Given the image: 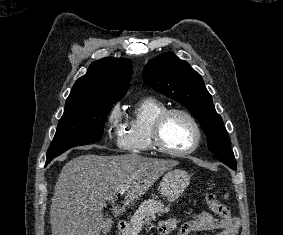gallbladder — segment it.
<instances>
[{
  "mask_svg": "<svg viewBox=\"0 0 283 235\" xmlns=\"http://www.w3.org/2000/svg\"><path fill=\"white\" fill-rule=\"evenodd\" d=\"M105 221L106 222H111V220L109 219V218H105ZM112 223V222H111ZM105 229L107 230L108 229V227L107 226H105Z\"/></svg>",
  "mask_w": 283,
  "mask_h": 235,
  "instance_id": "bac80fb5",
  "label": "gallbladder"
}]
</instances>
